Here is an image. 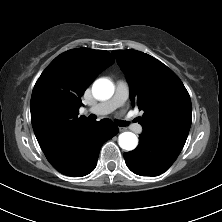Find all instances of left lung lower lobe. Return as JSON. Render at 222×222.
<instances>
[{"mask_svg":"<svg viewBox=\"0 0 222 222\" xmlns=\"http://www.w3.org/2000/svg\"><path fill=\"white\" fill-rule=\"evenodd\" d=\"M178 155L154 136H140L138 147L124 153L128 168L137 175L157 176L165 172Z\"/></svg>","mask_w":222,"mask_h":222,"instance_id":"0a47b994","label":"left lung lower lobe"}]
</instances>
